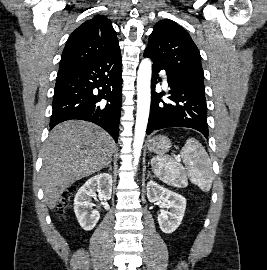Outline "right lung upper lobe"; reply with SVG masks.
<instances>
[{"instance_id":"cb5924a9","label":"right lung upper lobe","mask_w":267,"mask_h":270,"mask_svg":"<svg viewBox=\"0 0 267 270\" xmlns=\"http://www.w3.org/2000/svg\"><path fill=\"white\" fill-rule=\"evenodd\" d=\"M114 53H120L116 31L109 19L97 15L81 24L70 35L59 69L92 62Z\"/></svg>"}]
</instances>
